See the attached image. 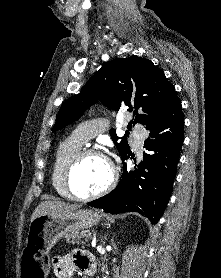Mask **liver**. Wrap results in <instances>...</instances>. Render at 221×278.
Returning a JSON list of instances; mask_svg holds the SVG:
<instances>
[{
    "mask_svg": "<svg viewBox=\"0 0 221 278\" xmlns=\"http://www.w3.org/2000/svg\"><path fill=\"white\" fill-rule=\"evenodd\" d=\"M78 205L69 204L61 201H43L35 209L32 214L31 221L45 214L64 213L78 209Z\"/></svg>",
    "mask_w": 221,
    "mask_h": 278,
    "instance_id": "1",
    "label": "liver"
}]
</instances>
